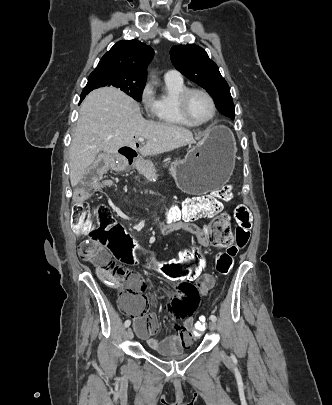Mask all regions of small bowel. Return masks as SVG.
I'll return each mask as SVG.
<instances>
[{"instance_id": "small-bowel-1", "label": "small bowel", "mask_w": 332, "mask_h": 405, "mask_svg": "<svg viewBox=\"0 0 332 405\" xmlns=\"http://www.w3.org/2000/svg\"><path fill=\"white\" fill-rule=\"evenodd\" d=\"M135 166L141 172L153 169V163L142 157L136 160ZM102 180V172H83L81 184L82 186H99ZM190 215L192 219L185 224V230L195 234L197 240H200L201 228L193 224L200 215L194 213H190ZM214 216V213L209 215V217L213 218L212 220H215ZM141 224L142 222H139L138 226ZM119 275L121 289L126 291V295L122 296L119 305L123 312L133 318L134 329L138 336L144 339L153 350H163V353H187L188 346L192 343L190 333L194 320L191 318V314L197 311L198 306L201 304V299L198 296H206L214 287V276L205 272L201 281L178 282L179 290H170L169 294L173 298L172 302H165L163 308L165 311H173L177 316L182 317L184 321L182 325L176 326L175 334L158 340L152 337L159 330L157 316L154 311L147 312V296L145 292L148 290V285L140 275L128 270H121Z\"/></svg>"}]
</instances>
